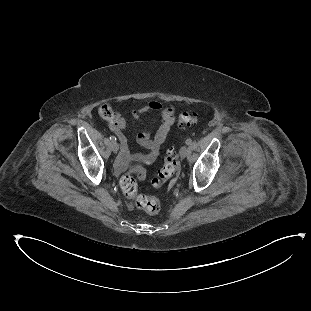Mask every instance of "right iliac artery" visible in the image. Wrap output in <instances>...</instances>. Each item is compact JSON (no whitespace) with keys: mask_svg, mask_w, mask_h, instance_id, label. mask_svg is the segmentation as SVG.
<instances>
[{"mask_svg":"<svg viewBox=\"0 0 311 311\" xmlns=\"http://www.w3.org/2000/svg\"><path fill=\"white\" fill-rule=\"evenodd\" d=\"M110 140H111L112 142H115V141H116V137H115V136H110Z\"/></svg>","mask_w":311,"mask_h":311,"instance_id":"right-iliac-artery-1","label":"right iliac artery"}]
</instances>
